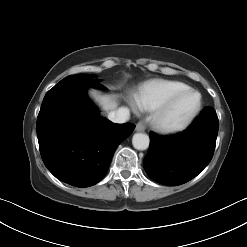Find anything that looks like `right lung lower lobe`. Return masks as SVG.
Here are the masks:
<instances>
[{
  "instance_id": "obj_1",
  "label": "right lung lower lobe",
  "mask_w": 247,
  "mask_h": 247,
  "mask_svg": "<svg viewBox=\"0 0 247 247\" xmlns=\"http://www.w3.org/2000/svg\"><path fill=\"white\" fill-rule=\"evenodd\" d=\"M88 87L103 85L94 80L58 83L45 95L37 118L45 166L59 180L77 187L92 186L105 176L116 148L135 128L99 116L86 97Z\"/></svg>"
}]
</instances>
